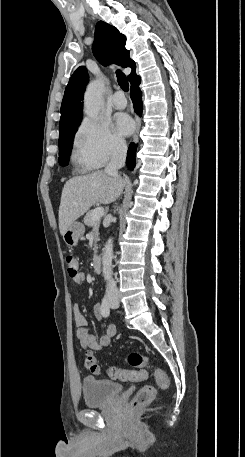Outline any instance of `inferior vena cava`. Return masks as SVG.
Masks as SVG:
<instances>
[{"label": "inferior vena cava", "instance_id": "inferior-vena-cava-1", "mask_svg": "<svg viewBox=\"0 0 245 457\" xmlns=\"http://www.w3.org/2000/svg\"><path fill=\"white\" fill-rule=\"evenodd\" d=\"M126 152L127 144L125 140H123V138H117V140L114 142L111 160L109 164L105 166L104 172H108V174H111V176H117V178H119L118 170L125 164ZM108 291L109 293H117L118 291L116 283L113 281V279H111L108 285Z\"/></svg>", "mask_w": 245, "mask_h": 457}]
</instances>
